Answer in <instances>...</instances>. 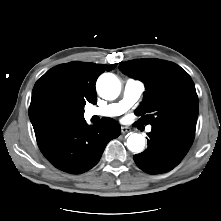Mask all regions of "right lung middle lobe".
Instances as JSON below:
<instances>
[{
    "label": "right lung middle lobe",
    "mask_w": 221,
    "mask_h": 221,
    "mask_svg": "<svg viewBox=\"0 0 221 221\" xmlns=\"http://www.w3.org/2000/svg\"><path fill=\"white\" fill-rule=\"evenodd\" d=\"M83 114H84V111H82V113L80 114V116L78 117L79 118H83Z\"/></svg>",
    "instance_id": "dd1d6c3e"
}]
</instances>
